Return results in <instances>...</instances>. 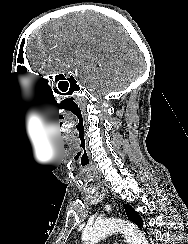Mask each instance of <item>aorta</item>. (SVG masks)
I'll return each instance as SVG.
<instances>
[{
    "mask_svg": "<svg viewBox=\"0 0 188 244\" xmlns=\"http://www.w3.org/2000/svg\"><path fill=\"white\" fill-rule=\"evenodd\" d=\"M118 232L124 234L128 244H148L135 224L119 218L107 219L86 227L81 238L84 244H96L101 239Z\"/></svg>",
    "mask_w": 188,
    "mask_h": 244,
    "instance_id": "obj_1",
    "label": "aorta"
}]
</instances>
